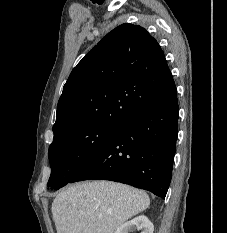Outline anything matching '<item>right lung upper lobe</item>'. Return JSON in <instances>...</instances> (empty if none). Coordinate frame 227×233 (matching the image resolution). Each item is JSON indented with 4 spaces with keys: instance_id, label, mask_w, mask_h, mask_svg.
Listing matches in <instances>:
<instances>
[{
    "instance_id": "1",
    "label": "right lung upper lobe",
    "mask_w": 227,
    "mask_h": 233,
    "mask_svg": "<svg viewBox=\"0 0 227 233\" xmlns=\"http://www.w3.org/2000/svg\"><path fill=\"white\" fill-rule=\"evenodd\" d=\"M174 88L158 42L141 26L122 24L72 70L58 101L54 136L84 125L120 126Z\"/></svg>"
}]
</instances>
